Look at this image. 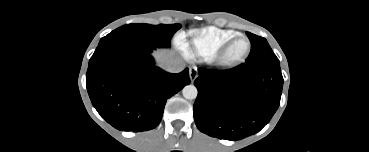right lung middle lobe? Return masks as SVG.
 <instances>
[{
  "label": "right lung middle lobe",
  "mask_w": 369,
  "mask_h": 152,
  "mask_svg": "<svg viewBox=\"0 0 369 152\" xmlns=\"http://www.w3.org/2000/svg\"><path fill=\"white\" fill-rule=\"evenodd\" d=\"M180 28V24H127L112 31L103 37L100 42L116 38H134L151 43L157 47H170L172 36Z\"/></svg>",
  "instance_id": "obj_1"
}]
</instances>
